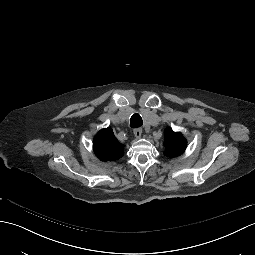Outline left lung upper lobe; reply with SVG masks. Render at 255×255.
Returning a JSON list of instances; mask_svg holds the SVG:
<instances>
[{
  "instance_id": "left-lung-upper-lobe-1",
  "label": "left lung upper lobe",
  "mask_w": 255,
  "mask_h": 255,
  "mask_svg": "<svg viewBox=\"0 0 255 255\" xmlns=\"http://www.w3.org/2000/svg\"><path fill=\"white\" fill-rule=\"evenodd\" d=\"M165 152L168 157H177L181 155L187 145L186 139L179 132H174L171 128L165 130Z\"/></svg>"
}]
</instances>
